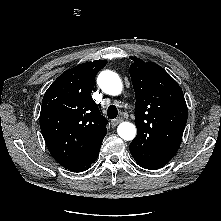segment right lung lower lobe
Segmentation results:
<instances>
[{
  "instance_id": "right-lung-lower-lobe-1",
  "label": "right lung lower lobe",
  "mask_w": 221,
  "mask_h": 221,
  "mask_svg": "<svg viewBox=\"0 0 221 221\" xmlns=\"http://www.w3.org/2000/svg\"><path fill=\"white\" fill-rule=\"evenodd\" d=\"M101 144H99L93 151L88 153L81 161L68 168L74 172H82L91 167V164L94 163L99 155Z\"/></svg>"
}]
</instances>
